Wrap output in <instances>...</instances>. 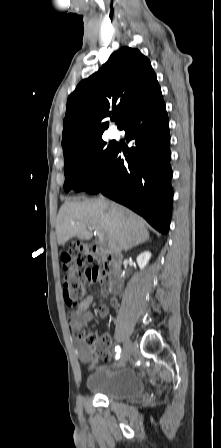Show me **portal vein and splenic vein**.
I'll return each instance as SVG.
<instances>
[{"label":"portal vein and splenic vein","instance_id":"18ae733b","mask_svg":"<svg viewBox=\"0 0 221 448\" xmlns=\"http://www.w3.org/2000/svg\"><path fill=\"white\" fill-rule=\"evenodd\" d=\"M98 237H99V241H100V242H104V238H105V236H104L103 233L98 232Z\"/></svg>","mask_w":221,"mask_h":448}]
</instances>
